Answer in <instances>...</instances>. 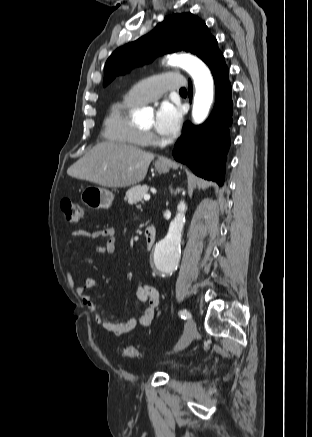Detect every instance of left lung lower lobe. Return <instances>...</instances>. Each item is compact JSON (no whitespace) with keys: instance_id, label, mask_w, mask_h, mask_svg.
Returning a JSON list of instances; mask_svg holds the SVG:
<instances>
[{"instance_id":"obj_1","label":"left lung lower lobe","mask_w":312,"mask_h":437,"mask_svg":"<svg viewBox=\"0 0 312 437\" xmlns=\"http://www.w3.org/2000/svg\"><path fill=\"white\" fill-rule=\"evenodd\" d=\"M216 87V102L208 120L193 126L187 122L173 150L174 158L193 172L219 185L224 182V166L229 148L228 126L232 122L231 84L224 56L217 53L208 64ZM191 96V94H190Z\"/></svg>"}]
</instances>
